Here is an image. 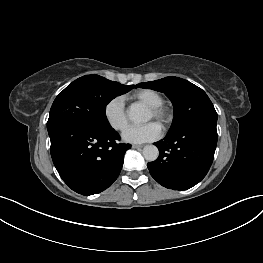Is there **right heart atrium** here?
I'll return each mask as SVG.
<instances>
[{
    "label": "right heart atrium",
    "instance_id": "d8ad5b80",
    "mask_svg": "<svg viewBox=\"0 0 263 263\" xmlns=\"http://www.w3.org/2000/svg\"><path fill=\"white\" fill-rule=\"evenodd\" d=\"M104 117L111 128L122 131L128 124L125 98L122 95L111 98L104 106Z\"/></svg>",
    "mask_w": 263,
    "mask_h": 263
}]
</instances>
